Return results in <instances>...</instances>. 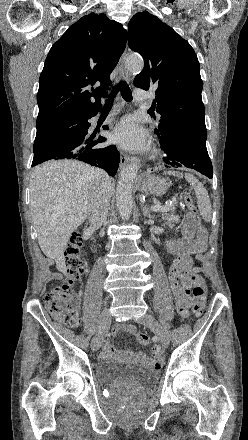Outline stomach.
<instances>
[{
  "mask_svg": "<svg viewBox=\"0 0 248 440\" xmlns=\"http://www.w3.org/2000/svg\"><path fill=\"white\" fill-rule=\"evenodd\" d=\"M168 187L169 185L164 178L155 175L143 176L137 182L138 190L146 195H163Z\"/></svg>",
  "mask_w": 248,
  "mask_h": 440,
  "instance_id": "1",
  "label": "stomach"
}]
</instances>
